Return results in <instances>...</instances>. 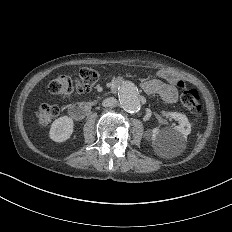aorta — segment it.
<instances>
[{
	"label": "aorta",
	"instance_id": "762f6f07",
	"mask_svg": "<svg viewBox=\"0 0 232 232\" xmlns=\"http://www.w3.org/2000/svg\"><path fill=\"white\" fill-rule=\"evenodd\" d=\"M137 87L129 82H124L119 88V100L123 109L130 113L138 112L141 108V103L138 98Z\"/></svg>",
	"mask_w": 232,
	"mask_h": 232
}]
</instances>
